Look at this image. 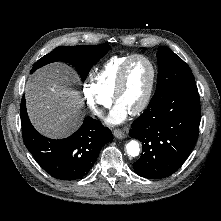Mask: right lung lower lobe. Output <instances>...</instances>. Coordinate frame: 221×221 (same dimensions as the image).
Wrapping results in <instances>:
<instances>
[{
  "mask_svg": "<svg viewBox=\"0 0 221 221\" xmlns=\"http://www.w3.org/2000/svg\"><path fill=\"white\" fill-rule=\"evenodd\" d=\"M21 125L27 149L48 174L61 180H76L85 176L99 156L101 148L113 140L109 128L91 117H86L82 126L65 139L44 137L29 120L25 96L21 101Z\"/></svg>",
  "mask_w": 221,
  "mask_h": 221,
  "instance_id": "obj_1",
  "label": "right lung lower lobe"
}]
</instances>
